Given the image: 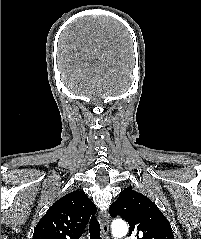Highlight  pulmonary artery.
<instances>
[{
    "instance_id": "obj_1",
    "label": "pulmonary artery",
    "mask_w": 201,
    "mask_h": 239,
    "mask_svg": "<svg viewBox=\"0 0 201 239\" xmlns=\"http://www.w3.org/2000/svg\"><path fill=\"white\" fill-rule=\"evenodd\" d=\"M123 239H130L129 237H125V238H123Z\"/></svg>"
}]
</instances>
